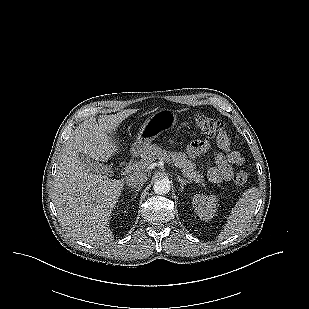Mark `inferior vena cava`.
<instances>
[{"label":"inferior vena cava","mask_w":309,"mask_h":309,"mask_svg":"<svg viewBox=\"0 0 309 309\" xmlns=\"http://www.w3.org/2000/svg\"><path fill=\"white\" fill-rule=\"evenodd\" d=\"M126 184L132 187H142L147 181L145 173L140 171H134L125 178Z\"/></svg>","instance_id":"1"}]
</instances>
